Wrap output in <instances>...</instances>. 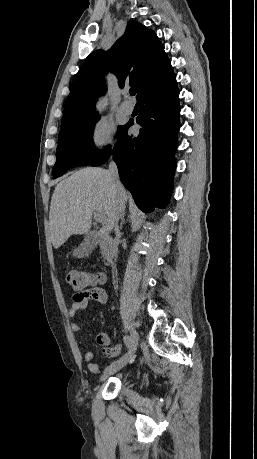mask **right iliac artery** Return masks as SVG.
Instances as JSON below:
<instances>
[{
	"mask_svg": "<svg viewBox=\"0 0 257 459\" xmlns=\"http://www.w3.org/2000/svg\"><path fill=\"white\" fill-rule=\"evenodd\" d=\"M123 341H124L125 345L127 346V348H129V345H130V343H131V337L128 336V335H125V336L123 337Z\"/></svg>",
	"mask_w": 257,
	"mask_h": 459,
	"instance_id": "right-iliac-artery-1",
	"label": "right iliac artery"
}]
</instances>
